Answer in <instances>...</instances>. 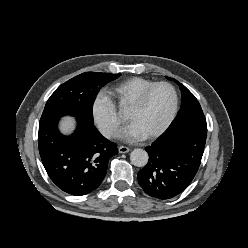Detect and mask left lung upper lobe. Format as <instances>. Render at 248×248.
<instances>
[{"label":"left lung upper lobe","mask_w":248,"mask_h":248,"mask_svg":"<svg viewBox=\"0 0 248 248\" xmlns=\"http://www.w3.org/2000/svg\"><path fill=\"white\" fill-rule=\"evenodd\" d=\"M167 78L169 80H174L179 85L180 90L182 91L181 108L168 129L175 128L176 126L185 123L206 125L204 113L196 97L177 80L169 77Z\"/></svg>","instance_id":"1"}]
</instances>
